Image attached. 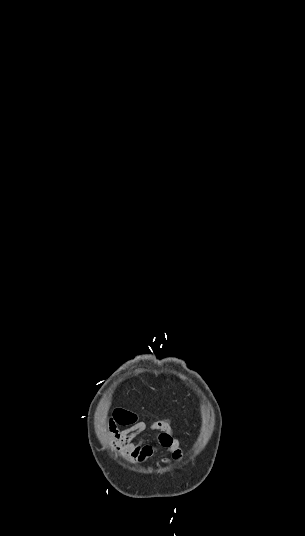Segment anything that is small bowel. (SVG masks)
I'll return each mask as SVG.
<instances>
[{
    "instance_id": "obj_1",
    "label": "small bowel",
    "mask_w": 305,
    "mask_h": 536,
    "mask_svg": "<svg viewBox=\"0 0 305 536\" xmlns=\"http://www.w3.org/2000/svg\"><path fill=\"white\" fill-rule=\"evenodd\" d=\"M106 426V437L110 446L131 464L145 463L155 451V446L146 443L141 437L146 432L156 433L158 446L171 454V457L163 459L162 463L171 464L182 458L183 451L179 441L173 435L172 427H131L125 429L124 435H119L120 430L113 419H108Z\"/></svg>"
}]
</instances>
